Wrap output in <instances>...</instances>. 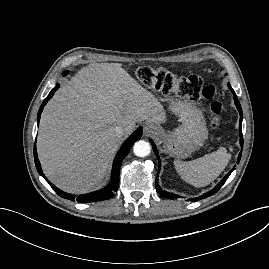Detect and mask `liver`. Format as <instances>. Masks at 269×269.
<instances>
[{
  "instance_id": "1",
  "label": "liver",
  "mask_w": 269,
  "mask_h": 269,
  "mask_svg": "<svg viewBox=\"0 0 269 269\" xmlns=\"http://www.w3.org/2000/svg\"><path fill=\"white\" fill-rule=\"evenodd\" d=\"M161 124L165 111L157 98L119 63L81 69L44 108L37 138L38 156L48 179L64 191L85 192L104 178L121 138L140 121Z\"/></svg>"
}]
</instances>
